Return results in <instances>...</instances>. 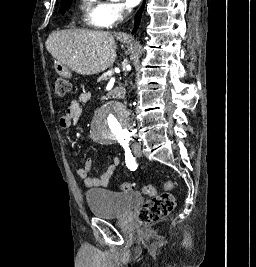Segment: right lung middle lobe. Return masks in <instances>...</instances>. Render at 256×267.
I'll list each match as a JSON object with an SVG mask.
<instances>
[{"label":"right lung middle lobe","mask_w":256,"mask_h":267,"mask_svg":"<svg viewBox=\"0 0 256 267\" xmlns=\"http://www.w3.org/2000/svg\"><path fill=\"white\" fill-rule=\"evenodd\" d=\"M70 2H71V0H65V1L61 2V6L59 9L60 14L65 13V11L70 7V4H71Z\"/></svg>","instance_id":"obj_1"}]
</instances>
